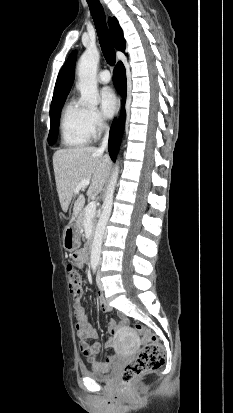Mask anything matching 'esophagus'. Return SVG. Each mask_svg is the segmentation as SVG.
<instances>
[{
    "mask_svg": "<svg viewBox=\"0 0 233 413\" xmlns=\"http://www.w3.org/2000/svg\"><path fill=\"white\" fill-rule=\"evenodd\" d=\"M121 106H122V102H121V98H119V101H118V118L120 117Z\"/></svg>",
    "mask_w": 233,
    "mask_h": 413,
    "instance_id": "1",
    "label": "esophagus"
}]
</instances>
